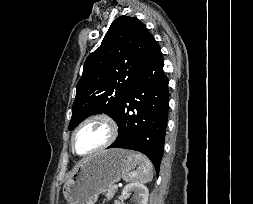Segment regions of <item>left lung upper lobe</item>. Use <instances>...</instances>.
I'll return each mask as SVG.
<instances>
[{
    "label": "left lung upper lobe",
    "instance_id": "5c2ea615",
    "mask_svg": "<svg viewBox=\"0 0 253 204\" xmlns=\"http://www.w3.org/2000/svg\"><path fill=\"white\" fill-rule=\"evenodd\" d=\"M156 46L154 37L137 18L115 19L100 47L85 61L76 87L69 130L98 113H105L116 121Z\"/></svg>",
    "mask_w": 253,
    "mask_h": 204
}]
</instances>
